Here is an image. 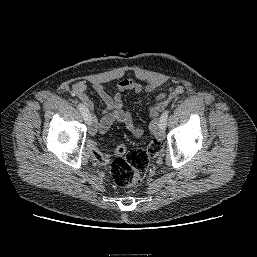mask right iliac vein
Returning a JSON list of instances; mask_svg holds the SVG:
<instances>
[{"label": "right iliac vein", "instance_id": "right-iliac-vein-1", "mask_svg": "<svg viewBox=\"0 0 257 257\" xmlns=\"http://www.w3.org/2000/svg\"><path fill=\"white\" fill-rule=\"evenodd\" d=\"M86 122L92 126L93 125V116L90 115V117L86 120ZM90 135H94V130L92 128L89 129Z\"/></svg>", "mask_w": 257, "mask_h": 257}]
</instances>
